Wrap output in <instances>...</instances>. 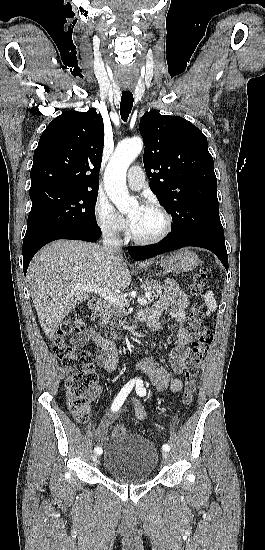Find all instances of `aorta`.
<instances>
[{
    "label": "aorta",
    "mask_w": 265,
    "mask_h": 550,
    "mask_svg": "<svg viewBox=\"0 0 265 550\" xmlns=\"http://www.w3.org/2000/svg\"><path fill=\"white\" fill-rule=\"evenodd\" d=\"M142 148L143 141L139 137L120 143L105 170L106 193L121 213H127L131 206L136 204V199L131 197L127 190L126 173Z\"/></svg>",
    "instance_id": "obj_1"
}]
</instances>
